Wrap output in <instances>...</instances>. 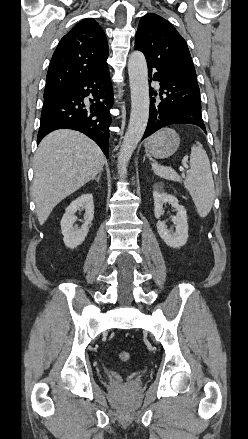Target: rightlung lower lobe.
Returning a JSON list of instances; mask_svg holds the SVG:
<instances>
[{
  "mask_svg": "<svg viewBox=\"0 0 248 439\" xmlns=\"http://www.w3.org/2000/svg\"><path fill=\"white\" fill-rule=\"evenodd\" d=\"M92 95L91 104L84 98ZM113 89L108 66L44 97L37 144L56 129L78 130L93 139L108 158Z\"/></svg>",
  "mask_w": 248,
  "mask_h": 439,
  "instance_id": "obj_1",
  "label": "right lung lower lobe"
}]
</instances>
